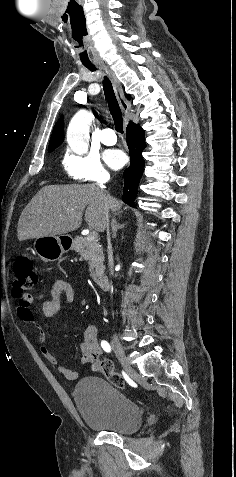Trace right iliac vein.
<instances>
[{"label":"right iliac vein","instance_id":"right-iliac-vein-1","mask_svg":"<svg viewBox=\"0 0 236 477\" xmlns=\"http://www.w3.org/2000/svg\"><path fill=\"white\" fill-rule=\"evenodd\" d=\"M112 347L114 349L116 356L118 357V359L121 361L122 365L124 366L125 370L129 374L133 373V368L129 365L127 361L124 348L116 336H113L112 338Z\"/></svg>","mask_w":236,"mask_h":477}]
</instances>
